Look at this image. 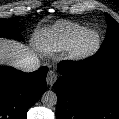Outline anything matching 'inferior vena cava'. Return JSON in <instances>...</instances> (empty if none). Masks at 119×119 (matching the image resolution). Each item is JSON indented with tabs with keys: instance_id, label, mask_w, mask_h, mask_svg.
Wrapping results in <instances>:
<instances>
[{
	"instance_id": "inferior-vena-cava-1",
	"label": "inferior vena cava",
	"mask_w": 119,
	"mask_h": 119,
	"mask_svg": "<svg viewBox=\"0 0 119 119\" xmlns=\"http://www.w3.org/2000/svg\"><path fill=\"white\" fill-rule=\"evenodd\" d=\"M18 68L24 72H33L40 68V61L37 57L32 56L19 64Z\"/></svg>"
}]
</instances>
